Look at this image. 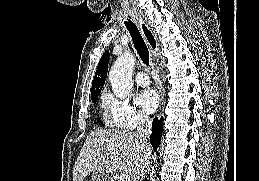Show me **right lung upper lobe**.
<instances>
[{
    "label": "right lung upper lobe",
    "mask_w": 259,
    "mask_h": 181,
    "mask_svg": "<svg viewBox=\"0 0 259 181\" xmlns=\"http://www.w3.org/2000/svg\"><path fill=\"white\" fill-rule=\"evenodd\" d=\"M108 61H109V52L106 51L100 59V62L98 64V67L94 76L92 89H91V98L98 96L101 92V89L105 83L106 76H107Z\"/></svg>",
    "instance_id": "cb5924a9"
}]
</instances>
